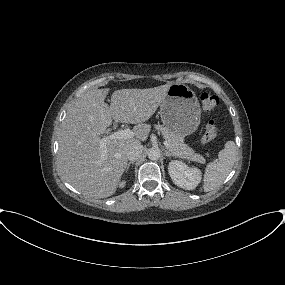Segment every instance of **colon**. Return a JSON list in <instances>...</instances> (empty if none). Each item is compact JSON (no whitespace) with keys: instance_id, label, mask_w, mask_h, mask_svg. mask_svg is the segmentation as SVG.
<instances>
[{"instance_id":"1","label":"colon","mask_w":285,"mask_h":285,"mask_svg":"<svg viewBox=\"0 0 285 285\" xmlns=\"http://www.w3.org/2000/svg\"><path fill=\"white\" fill-rule=\"evenodd\" d=\"M200 101H201L202 109L205 112H212L220 104V100L218 96L211 94V93H206V92L200 95ZM218 129L219 128H218L217 122L214 119L209 120L206 125L205 131L201 137L202 143L208 144L212 142L218 133Z\"/></svg>"}]
</instances>
